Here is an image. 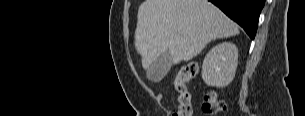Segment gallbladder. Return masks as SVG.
<instances>
[{"label": "gallbladder", "mask_w": 305, "mask_h": 116, "mask_svg": "<svg viewBox=\"0 0 305 116\" xmlns=\"http://www.w3.org/2000/svg\"><path fill=\"white\" fill-rule=\"evenodd\" d=\"M172 56L169 51L163 52L147 69L146 76L151 82H160L169 72Z\"/></svg>", "instance_id": "1"}]
</instances>
